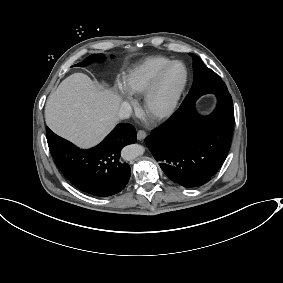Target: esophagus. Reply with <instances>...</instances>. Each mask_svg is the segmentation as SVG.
<instances>
[{
    "instance_id": "obj_1",
    "label": "esophagus",
    "mask_w": 283,
    "mask_h": 283,
    "mask_svg": "<svg viewBox=\"0 0 283 283\" xmlns=\"http://www.w3.org/2000/svg\"><path fill=\"white\" fill-rule=\"evenodd\" d=\"M145 137H146V132H145V131L139 130V131L137 132V138H138V140H143V139H145Z\"/></svg>"
}]
</instances>
